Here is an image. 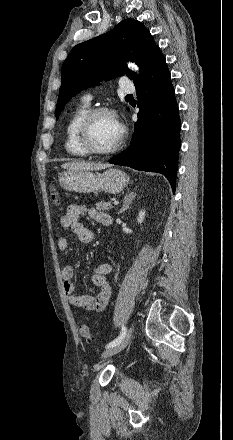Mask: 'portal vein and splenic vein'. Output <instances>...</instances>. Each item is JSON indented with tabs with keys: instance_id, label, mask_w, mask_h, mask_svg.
I'll use <instances>...</instances> for the list:
<instances>
[{
	"instance_id": "portal-vein-and-splenic-vein-1",
	"label": "portal vein and splenic vein",
	"mask_w": 233,
	"mask_h": 440,
	"mask_svg": "<svg viewBox=\"0 0 233 440\" xmlns=\"http://www.w3.org/2000/svg\"><path fill=\"white\" fill-rule=\"evenodd\" d=\"M114 205H118L119 204V202L118 201H114V203H113Z\"/></svg>"
}]
</instances>
